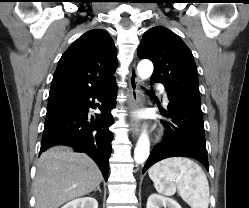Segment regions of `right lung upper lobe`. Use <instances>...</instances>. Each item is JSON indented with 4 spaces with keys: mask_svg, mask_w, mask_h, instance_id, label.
Returning a JSON list of instances; mask_svg holds the SVG:
<instances>
[{
    "mask_svg": "<svg viewBox=\"0 0 249 208\" xmlns=\"http://www.w3.org/2000/svg\"><path fill=\"white\" fill-rule=\"evenodd\" d=\"M116 56L114 42L106 31L86 32L59 60L48 101L88 94L112 83Z\"/></svg>",
    "mask_w": 249,
    "mask_h": 208,
    "instance_id": "obj_1",
    "label": "right lung upper lobe"
}]
</instances>
